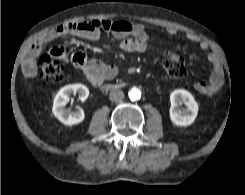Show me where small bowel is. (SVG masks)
I'll return each mask as SVG.
<instances>
[{"label": "small bowel", "instance_id": "1", "mask_svg": "<svg viewBox=\"0 0 245 195\" xmlns=\"http://www.w3.org/2000/svg\"><path fill=\"white\" fill-rule=\"evenodd\" d=\"M102 31L111 33L119 40V47L127 52L143 53L147 50L149 36L142 24H131L127 21L92 20L66 23L48 31L41 38L36 40L28 49L24 60V72L28 77L36 75L35 58L42 51L43 47L63 36H75L90 41H98ZM168 33H177L175 28H169ZM186 38L197 43L201 50L207 53V59L211 64L212 71L208 82H196L195 90L205 96H213L224 84V70L218 56L210 51L209 44L192 32L186 33ZM52 56L66 58L65 49L62 46H55L50 51ZM73 65L81 71L87 81L93 85H100L106 80L113 79L118 68L114 64L105 63L97 58L87 59L82 52H76L71 56ZM158 60L157 58L155 59Z\"/></svg>", "mask_w": 245, "mask_h": 195}]
</instances>
